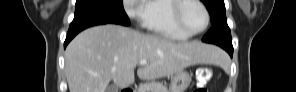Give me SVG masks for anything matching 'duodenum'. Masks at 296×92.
<instances>
[{
    "label": "duodenum",
    "instance_id": "410a0bca",
    "mask_svg": "<svg viewBox=\"0 0 296 92\" xmlns=\"http://www.w3.org/2000/svg\"><path fill=\"white\" fill-rule=\"evenodd\" d=\"M136 90L133 87H127L122 90V92H135Z\"/></svg>",
    "mask_w": 296,
    "mask_h": 92
}]
</instances>
